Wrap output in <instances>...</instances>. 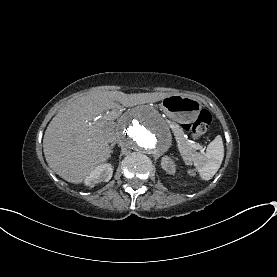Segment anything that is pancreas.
<instances>
[{"label":"pancreas","instance_id":"cf45deb5","mask_svg":"<svg viewBox=\"0 0 277 277\" xmlns=\"http://www.w3.org/2000/svg\"><path fill=\"white\" fill-rule=\"evenodd\" d=\"M172 136L177 141L178 146L181 148V156L184 159H189L192 156V148L188 144V139L186 137L185 131L180 128H175L172 131Z\"/></svg>","mask_w":277,"mask_h":277}]
</instances>
